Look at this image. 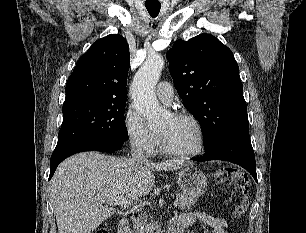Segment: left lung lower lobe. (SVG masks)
I'll return each mask as SVG.
<instances>
[{
  "instance_id": "0a47b994",
  "label": "left lung lower lobe",
  "mask_w": 306,
  "mask_h": 233,
  "mask_svg": "<svg viewBox=\"0 0 306 233\" xmlns=\"http://www.w3.org/2000/svg\"><path fill=\"white\" fill-rule=\"evenodd\" d=\"M196 161L223 160L245 168L257 181L254 151L249 135H238L223 138L205 149L202 157Z\"/></svg>"
}]
</instances>
